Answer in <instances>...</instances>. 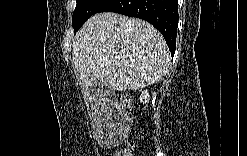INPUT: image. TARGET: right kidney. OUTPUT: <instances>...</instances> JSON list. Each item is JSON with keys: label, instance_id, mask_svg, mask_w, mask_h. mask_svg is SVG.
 Wrapping results in <instances>:
<instances>
[{"label": "right kidney", "instance_id": "1", "mask_svg": "<svg viewBox=\"0 0 247 156\" xmlns=\"http://www.w3.org/2000/svg\"><path fill=\"white\" fill-rule=\"evenodd\" d=\"M140 101L143 102L144 104L149 102V93L148 90L142 91L140 95Z\"/></svg>", "mask_w": 247, "mask_h": 156}]
</instances>
